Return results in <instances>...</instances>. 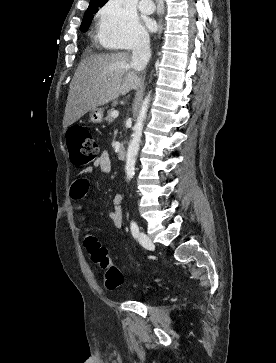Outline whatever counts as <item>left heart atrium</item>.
Returning <instances> with one entry per match:
<instances>
[{
  "label": "left heart atrium",
  "instance_id": "39dd6f15",
  "mask_svg": "<svg viewBox=\"0 0 276 363\" xmlns=\"http://www.w3.org/2000/svg\"><path fill=\"white\" fill-rule=\"evenodd\" d=\"M145 23H146V25H147V27L149 29H153L154 28L155 22L152 19H146L145 20Z\"/></svg>",
  "mask_w": 276,
  "mask_h": 363
}]
</instances>
